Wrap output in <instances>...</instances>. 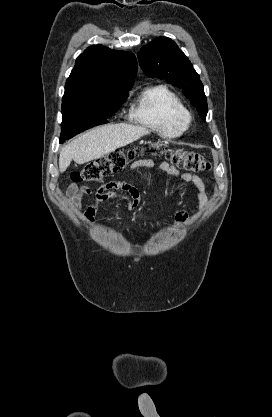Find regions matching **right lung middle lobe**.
I'll use <instances>...</instances> for the list:
<instances>
[{
	"label": "right lung middle lobe",
	"mask_w": 272,
	"mask_h": 417,
	"mask_svg": "<svg viewBox=\"0 0 272 417\" xmlns=\"http://www.w3.org/2000/svg\"><path fill=\"white\" fill-rule=\"evenodd\" d=\"M128 90L98 93L85 98L62 100L60 143L99 124L107 123L125 102Z\"/></svg>",
	"instance_id": "dd1d6c3e"
}]
</instances>
